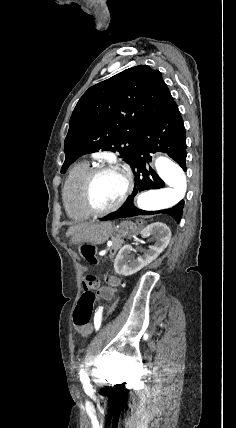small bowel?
Masks as SVG:
<instances>
[{
  "label": "small bowel",
  "instance_id": "obj_1",
  "mask_svg": "<svg viewBox=\"0 0 236 428\" xmlns=\"http://www.w3.org/2000/svg\"><path fill=\"white\" fill-rule=\"evenodd\" d=\"M109 286L103 287L99 290V296L107 301H110L113 299L116 287L119 285V280L117 278H111L109 279ZM103 307L100 306L97 309V312H102ZM91 331V326H87L83 331H81L83 334H88Z\"/></svg>",
  "mask_w": 236,
  "mask_h": 428
}]
</instances>
